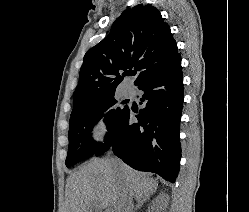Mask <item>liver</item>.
Wrapping results in <instances>:
<instances>
[{
  "label": "liver",
  "instance_id": "liver-1",
  "mask_svg": "<svg viewBox=\"0 0 249 212\" xmlns=\"http://www.w3.org/2000/svg\"><path fill=\"white\" fill-rule=\"evenodd\" d=\"M120 178H123V184H120ZM121 188H126L131 200H148L156 192L158 182L145 178L142 172L132 170L123 162L113 164L112 160L93 158L72 172L67 180V212H91L95 202L101 208L104 206L111 208L112 212H121Z\"/></svg>",
  "mask_w": 249,
  "mask_h": 212
}]
</instances>
